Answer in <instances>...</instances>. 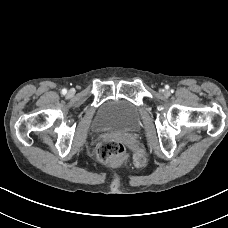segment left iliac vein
<instances>
[{
    "mask_svg": "<svg viewBox=\"0 0 228 228\" xmlns=\"http://www.w3.org/2000/svg\"><path fill=\"white\" fill-rule=\"evenodd\" d=\"M163 93L166 95L168 92L167 91H163Z\"/></svg>",
    "mask_w": 228,
    "mask_h": 228,
    "instance_id": "left-iliac-vein-1",
    "label": "left iliac vein"
}]
</instances>
